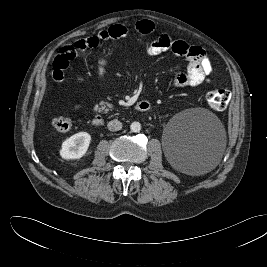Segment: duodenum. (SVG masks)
<instances>
[{"mask_svg": "<svg viewBox=\"0 0 267 267\" xmlns=\"http://www.w3.org/2000/svg\"><path fill=\"white\" fill-rule=\"evenodd\" d=\"M135 108L137 111L145 112L150 110L151 104L148 101H139L136 103ZM93 125L95 126H103L105 124V120L101 115H96L92 120Z\"/></svg>", "mask_w": 267, "mask_h": 267, "instance_id": "410a0bca", "label": "duodenum"}]
</instances>
